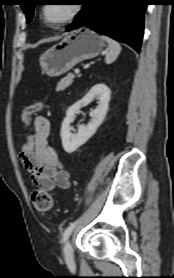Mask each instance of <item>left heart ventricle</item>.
<instances>
[{
    "label": "left heart ventricle",
    "instance_id": "1",
    "mask_svg": "<svg viewBox=\"0 0 174 278\" xmlns=\"http://www.w3.org/2000/svg\"><path fill=\"white\" fill-rule=\"evenodd\" d=\"M72 4H49L45 6L44 17L49 23L65 19L71 12Z\"/></svg>",
    "mask_w": 174,
    "mask_h": 278
}]
</instances>
